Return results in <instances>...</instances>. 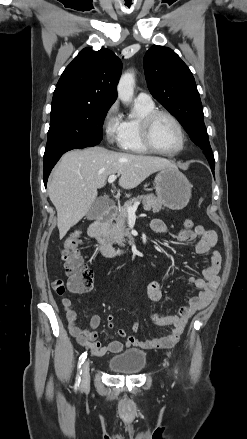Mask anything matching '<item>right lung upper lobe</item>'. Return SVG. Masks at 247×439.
<instances>
[{
	"label": "right lung upper lobe",
	"instance_id": "1",
	"mask_svg": "<svg viewBox=\"0 0 247 439\" xmlns=\"http://www.w3.org/2000/svg\"><path fill=\"white\" fill-rule=\"evenodd\" d=\"M122 63L109 49L84 48L62 73L52 106L78 104L110 106L115 102Z\"/></svg>",
	"mask_w": 247,
	"mask_h": 439
}]
</instances>
